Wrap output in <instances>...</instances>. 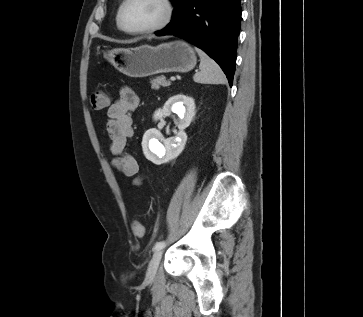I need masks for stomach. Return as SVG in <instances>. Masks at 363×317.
<instances>
[{
    "instance_id": "1",
    "label": "stomach",
    "mask_w": 363,
    "mask_h": 317,
    "mask_svg": "<svg viewBox=\"0 0 363 317\" xmlns=\"http://www.w3.org/2000/svg\"><path fill=\"white\" fill-rule=\"evenodd\" d=\"M104 57L121 73L130 77H147L158 73L191 71L197 62L193 48L184 41L158 46L141 45L118 48Z\"/></svg>"
}]
</instances>
